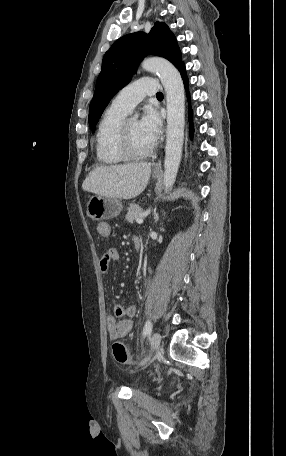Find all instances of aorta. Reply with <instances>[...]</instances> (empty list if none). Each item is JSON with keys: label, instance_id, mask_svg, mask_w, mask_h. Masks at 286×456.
Listing matches in <instances>:
<instances>
[{"label": "aorta", "instance_id": "obj_1", "mask_svg": "<svg viewBox=\"0 0 286 456\" xmlns=\"http://www.w3.org/2000/svg\"><path fill=\"white\" fill-rule=\"evenodd\" d=\"M141 68L157 73L166 92L167 130L163 182L165 191L168 192L175 183L182 155L185 125L184 85L179 71L166 59H145ZM133 118H138V114Z\"/></svg>", "mask_w": 286, "mask_h": 456}]
</instances>
